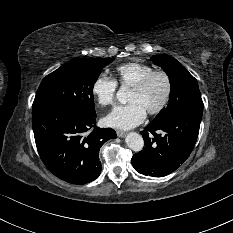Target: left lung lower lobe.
<instances>
[{"mask_svg":"<svg viewBox=\"0 0 233 233\" xmlns=\"http://www.w3.org/2000/svg\"><path fill=\"white\" fill-rule=\"evenodd\" d=\"M202 112L203 103L193 104L160 124L147 125L141 131L145 147L132 157L135 170L153 177L175 171L194 148ZM149 133L154 138H150Z\"/></svg>","mask_w":233,"mask_h":233,"instance_id":"obj_1","label":"left lung lower lobe"}]
</instances>
